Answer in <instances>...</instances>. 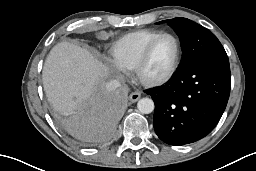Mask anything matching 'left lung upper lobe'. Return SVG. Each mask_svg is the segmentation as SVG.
Here are the masks:
<instances>
[{"label": "left lung upper lobe", "instance_id": "obj_1", "mask_svg": "<svg viewBox=\"0 0 256 171\" xmlns=\"http://www.w3.org/2000/svg\"><path fill=\"white\" fill-rule=\"evenodd\" d=\"M163 22H167L180 38L183 54L179 67L198 58L226 55L217 37L205 27L187 18H174L158 23Z\"/></svg>", "mask_w": 256, "mask_h": 171}]
</instances>
